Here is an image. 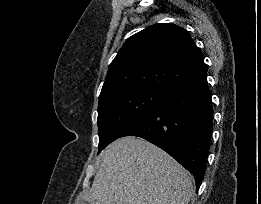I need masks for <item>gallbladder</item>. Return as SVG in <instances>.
I'll list each match as a JSON object with an SVG mask.
<instances>
[{
  "label": "gallbladder",
  "instance_id": "obj_1",
  "mask_svg": "<svg viewBox=\"0 0 261 204\" xmlns=\"http://www.w3.org/2000/svg\"><path fill=\"white\" fill-rule=\"evenodd\" d=\"M78 204H89V203L85 200H81Z\"/></svg>",
  "mask_w": 261,
  "mask_h": 204
}]
</instances>
